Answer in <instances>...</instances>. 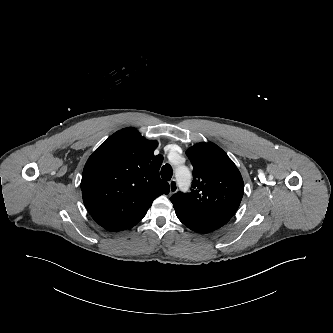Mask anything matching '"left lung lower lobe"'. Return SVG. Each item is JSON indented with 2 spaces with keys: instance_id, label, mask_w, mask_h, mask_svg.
<instances>
[{
  "instance_id": "left-lung-lower-lobe-1",
  "label": "left lung lower lobe",
  "mask_w": 333,
  "mask_h": 333,
  "mask_svg": "<svg viewBox=\"0 0 333 333\" xmlns=\"http://www.w3.org/2000/svg\"><path fill=\"white\" fill-rule=\"evenodd\" d=\"M178 219L188 228L198 233H209L225 225L239 206L234 201L190 205L175 202Z\"/></svg>"
}]
</instances>
